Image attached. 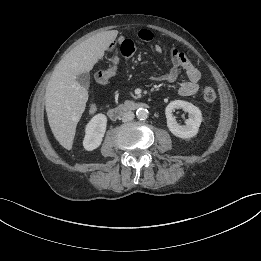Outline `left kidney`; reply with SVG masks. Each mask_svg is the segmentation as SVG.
Returning a JSON list of instances; mask_svg holds the SVG:
<instances>
[{
    "label": "left kidney",
    "instance_id": "obj_1",
    "mask_svg": "<svg viewBox=\"0 0 261 261\" xmlns=\"http://www.w3.org/2000/svg\"><path fill=\"white\" fill-rule=\"evenodd\" d=\"M175 109H183L185 112H188L189 118L186 120L185 125H179L177 123L172 113ZM165 115L167 118V127L170 132L176 137L183 139L196 136L202 122V113L200 109L183 100H174L170 102L165 109Z\"/></svg>",
    "mask_w": 261,
    "mask_h": 261
}]
</instances>
